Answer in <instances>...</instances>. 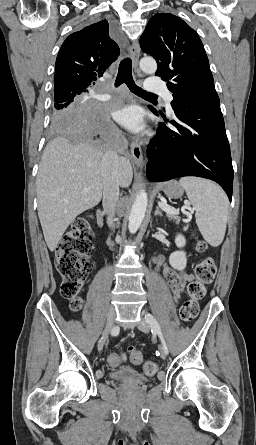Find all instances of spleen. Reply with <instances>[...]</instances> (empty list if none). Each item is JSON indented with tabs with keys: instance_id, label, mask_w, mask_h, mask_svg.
Instances as JSON below:
<instances>
[{
	"instance_id": "spleen-1",
	"label": "spleen",
	"mask_w": 256,
	"mask_h": 445,
	"mask_svg": "<svg viewBox=\"0 0 256 445\" xmlns=\"http://www.w3.org/2000/svg\"><path fill=\"white\" fill-rule=\"evenodd\" d=\"M179 184L196 211V223L202 236L211 246H219L224 239L228 219L226 194L217 184L203 178L183 177Z\"/></svg>"
}]
</instances>
